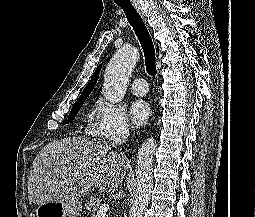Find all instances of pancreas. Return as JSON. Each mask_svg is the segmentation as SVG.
<instances>
[{"mask_svg":"<svg viewBox=\"0 0 255 217\" xmlns=\"http://www.w3.org/2000/svg\"><path fill=\"white\" fill-rule=\"evenodd\" d=\"M101 202V199L91 196L89 200H86L85 208L88 210L89 213L93 214L98 210Z\"/></svg>","mask_w":255,"mask_h":217,"instance_id":"1","label":"pancreas"}]
</instances>
